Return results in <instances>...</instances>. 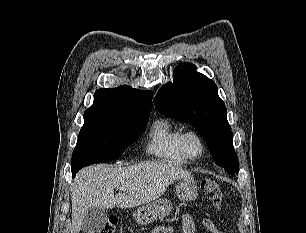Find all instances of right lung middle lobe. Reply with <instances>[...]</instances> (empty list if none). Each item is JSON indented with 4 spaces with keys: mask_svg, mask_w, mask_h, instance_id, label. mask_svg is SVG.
<instances>
[{
    "mask_svg": "<svg viewBox=\"0 0 306 233\" xmlns=\"http://www.w3.org/2000/svg\"><path fill=\"white\" fill-rule=\"evenodd\" d=\"M148 118L149 114L85 111L84 125L72 155V173L87 165L118 158L145 132Z\"/></svg>",
    "mask_w": 306,
    "mask_h": 233,
    "instance_id": "1",
    "label": "right lung middle lobe"
}]
</instances>
